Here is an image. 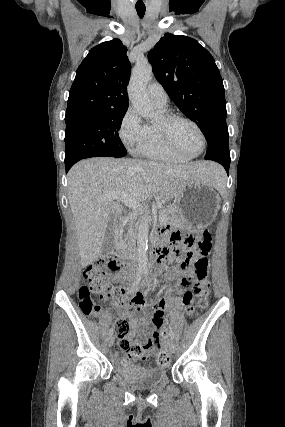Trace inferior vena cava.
<instances>
[{
  "label": "inferior vena cava",
  "instance_id": "obj_1",
  "mask_svg": "<svg viewBox=\"0 0 285 427\" xmlns=\"http://www.w3.org/2000/svg\"><path fill=\"white\" fill-rule=\"evenodd\" d=\"M129 237L132 238V234H130ZM132 245H134V241H132Z\"/></svg>",
  "mask_w": 285,
  "mask_h": 427
}]
</instances>
